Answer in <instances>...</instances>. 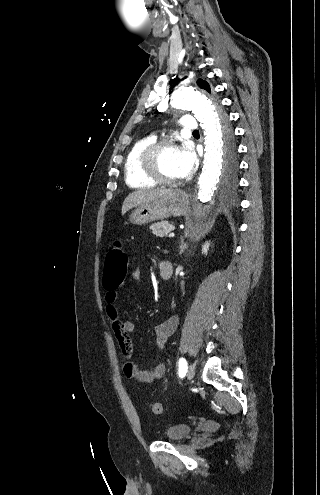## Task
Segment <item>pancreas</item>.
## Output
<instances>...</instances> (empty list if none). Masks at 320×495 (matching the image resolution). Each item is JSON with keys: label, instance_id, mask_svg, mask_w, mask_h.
Wrapping results in <instances>:
<instances>
[{"label": "pancreas", "instance_id": "obj_1", "mask_svg": "<svg viewBox=\"0 0 320 495\" xmlns=\"http://www.w3.org/2000/svg\"><path fill=\"white\" fill-rule=\"evenodd\" d=\"M174 229V225L170 224L168 221L153 223L150 226L152 233L159 237L168 236Z\"/></svg>", "mask_w": 320, "mask_h": 495}]
</instances>
